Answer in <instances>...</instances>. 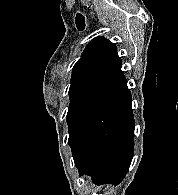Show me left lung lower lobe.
I'll return each mask as SVG.
<instances>
[{
    "label": "left lung lower lobe",
    "instance_id": "left-lung-lower-lobe-1",
    "mask_svg": "<svg viewBox=\"0 0 178 195\" xmlns=\"http://www.w3.org/2000/svg\"><path fill=\"white\" fill-rule=\"evenodd\" d=\"M69 145L80 176L89 175L98 185H118L128 172L134 153L129 89L90 120Z\"/></svg>",
    "mask_w": 178,
    "mask_h": 195
}]
</instances>
